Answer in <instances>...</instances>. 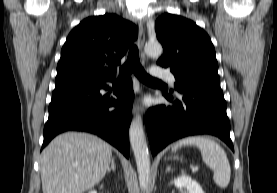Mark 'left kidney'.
<instances>
[{
    "label": "left kidney",
    "mask_w": 277,
    "mask_h": 193,
    "mask_svg": "<svg viewBox=\"0 0 277 193\" xmlns=\"http://www.w3.org/2000/svg\"><path fill=\"white\" fill-rule=\"evenodd\" d=\"M173 183L177 188H186L188 193H205L198 182L192 180V178L187 175H181L175 178Z\"/></svg>",
    "instance_id": "1"
}]
</instances>
